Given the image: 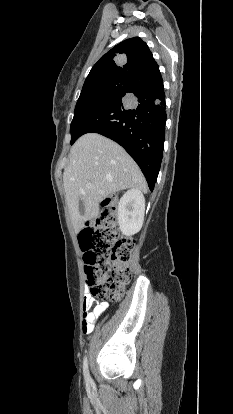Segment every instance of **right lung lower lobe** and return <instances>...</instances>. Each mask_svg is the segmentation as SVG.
Returning <instances> with one entry per match:
<instances>
[{
  "instance_id": "1",
  "label": "right lung lower lobe",
  "mask_w": 233,
  "mask_h": 414,
  "mask_svg": "<svg viewBox=\"0 0 233 414\" xmlns=\"http://www.w3.org/2000/svg\"><path fill=\"white\" fill-rule=\"evenodd\" d=\"M129 90L91 112L78 129V138L95 132L120 144L136 161L152 191L159 173L166 123L160 72L132 81Z\"/></svg>"
}]
</instances>
